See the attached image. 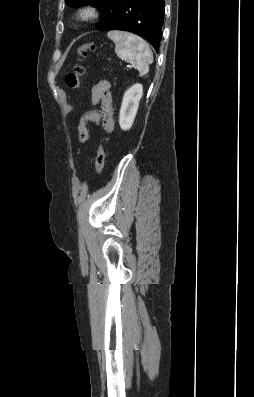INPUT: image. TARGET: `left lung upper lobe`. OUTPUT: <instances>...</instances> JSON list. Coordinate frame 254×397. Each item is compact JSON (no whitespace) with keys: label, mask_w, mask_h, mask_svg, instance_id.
<instances>
[{"label":"left lung upper lobe","mask_w":254,"mask_h":397,"mask_svg":"<svg viewBox=\"0 0 254 397\" xmlns=\"http://www.w3.org/2000/svg\"><path fill=\"white\" fill-rule=\"evenodd\" d=\"M65 2L71 7H78V6H82L85 4H90L94 7L100 8L101 13L103 14V11L106 8L108 0H65ZM102 14H101V17H102ZM100 21H101V18H100ZM98 23H97V25H98Z\"/></svg>","instance_id":"5c2ea615"}]
</instances>
